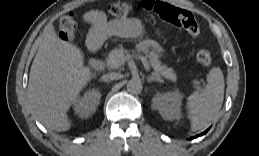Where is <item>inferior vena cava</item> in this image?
Instances as JSON below:
<instances>
[{"label": "inferior vena cava", "mask_w": 259, "mask_h": 156, "mask_svg": "<svg viewBox=\"0 0 259 156\" xmlns=\"http://www.w3.org/2000/svg\"><path fill=\"white\" fill-rule=\"evenodd\" d=\"M120 78H121V74L116 73V72H110V73L104 74L102 76V79L107 80V81L118 80Z\"/></svg>", "instance_id": "602c4592"}]
</instances>
